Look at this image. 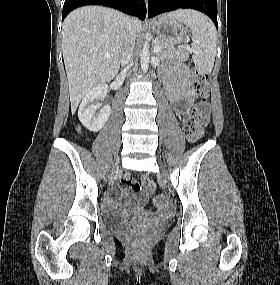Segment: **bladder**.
Instances as JSON below:
<instances>
[{
  "label": "bladder",
  "mask_w": 280,
  "mask_h": 285,
  "mask_svg": "<svg viewBox=\"0 0 280 285\" xmlns=\"http://www.w3.org/2000/svg\"><path fill=\"white\" fill-rule=\"evenodd\" d=\"M103 216L106 224L113 228H123L132 222L131 219L115 213H106Z\"/></svg>",
  "instance_id": "bladder-1"
}]
</instances>
